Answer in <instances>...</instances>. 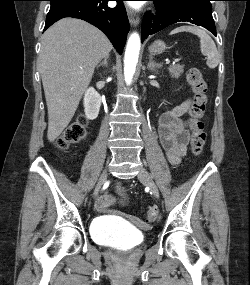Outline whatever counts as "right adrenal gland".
<instances>
[{
	"label": "right adrenal gland",
	"instance_id": "1",
	"mask_svg": "<svg viewBox=\"0 0 250 285\" xmlns=\"http://www.w3.org/2000/svg\"><path fill=\"white\" fill-rule=\"evenodd\" d=\"M108 58H109V55H107V56L104 58V60L99 63V65L97 66V68L100 67V66H105V67H106L107 64H108Z\"/></svg>",
	"mask_w": 250,
	"mask_h": 285
}]
</instances>
